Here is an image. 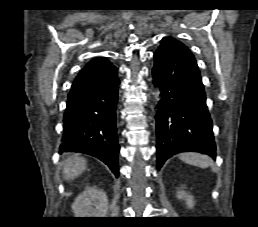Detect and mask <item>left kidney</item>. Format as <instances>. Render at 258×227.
I'll list each match as a JSON object with an SVG mask.
<instances>
[{
    "instance_id": "left-kidney-1",
    "label": "left kidney",
    "mask_w": 258,
    "mask_h": 227,
    "mask_svg": "<svg viewBox=\"0 0 258 227\" xmlns=\"http://www.w3.org/2000/svg\"><path fill=\"white\" fill-rule=\"evenodd\" d=\"M177 198L185 200L186 205H187L188 208H193V206H194V199H193V197L190 194H188L184 190H179L177 192Z\"/></svg>"
}]
</instances>
